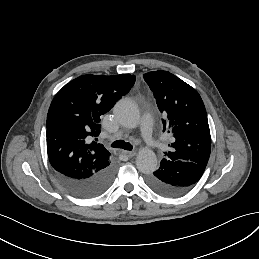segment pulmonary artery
Segmentation results:
<instances>
[{
  "instance_id": "1",
  "label": "pulmonary artery",
  "mask_w": 259,
  "mask_h": 259,
  "mask_svg": "<svg viewBox=\"0 0 259 259\" xmlns=\"http://www.w3.org/2000/svg\"><path fill=\"white\" fill-rule=\"evenodd\" d=\"M141 125L143 128L144 136H149L152 132L153 119L150 115H142L131 122H129V127H136Z\"/></svg>"
}]
</instances>
